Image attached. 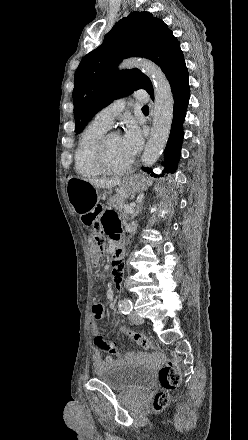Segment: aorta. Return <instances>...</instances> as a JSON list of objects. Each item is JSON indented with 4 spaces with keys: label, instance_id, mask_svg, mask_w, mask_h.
<instances>
[{
    "label": "aorta",
    "instance_id": "aorta-1",
    "mask_svg": "<svg viewBox=\"0 0 248 440\" xmlns=\"http://www.w3.org/2000/svg\"><path fill=\"white\" fill-rule=\"evenodd\" d=\"M140 69L153 83L154 117L149 140L142 155L145 167L152 166L162 154L171 130L174 99L170 84L155 63L146 59H130L122 63V69Z\"/></svg>",
    "mask_w": 248,
    "mask_h": 440
}]
</instances>
